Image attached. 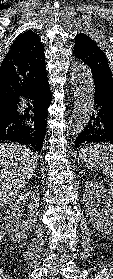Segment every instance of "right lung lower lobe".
Here are the masks:
<instances>
[{
	"label": "right lung lower lobe",
	"mask_w": 113,
	"mask_h": 279,
	"mask_svg": "<svg viewBox=\"0 0 113 279\" xmlns=\"http://www.w3.org/2000/svg\"><path fill=\"white\" fill-rule=\"evenodd\" d=\"M24 97L32 100L26 112L17 110V100L11 116L0 122V142H18L40 153L46 134L47 109L52 100L47 74Z\"/></svg>",
	"instance_id": "right-lung-lower-lobe-1"
}]
</instances>
